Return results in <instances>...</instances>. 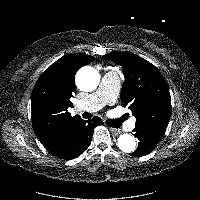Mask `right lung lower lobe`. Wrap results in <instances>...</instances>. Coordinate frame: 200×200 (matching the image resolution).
I'll return each instance as SVG.
<instances>
[{"label":"right lung lower lobe","mask_w":200,"mask_h":200,"mask_svg":"<svg viewBox=\"0 0 200 200\" xmlns=\"http://www.w3.org/2000/svg\"><path fill=\"white\" fill-rule=\"evenodd\" d=\"M102 124L99 117L88 121L80 119L46 149L65 160L76 158L89 147L94 128Z\"/></svg>","instance_id":"right-lung-lower-lobe-1"}]
</instances>
